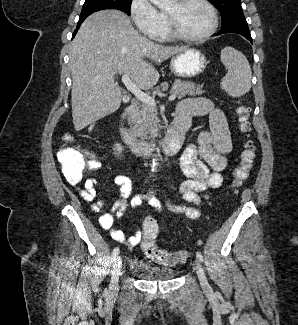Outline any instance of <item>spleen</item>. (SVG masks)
<instances>
[{
	"label": "spleen",
	"mask_w": 298,
	"mask_h": 325,
	"mask_svg": "<svg viewBox=\"0 0 298 325\" xmlns=\"http://www.w3.org/2000/svg\"><path fill=\"white\" fill-rule=\"evenodd\" d=\"M221 62L228 68L227 74L220 80L222 90L229 96H243L251 88V66L245 54L233 46L221 50Z\"/></svg>",
	"instance_id": "3e777b00"
}]
</instances>
